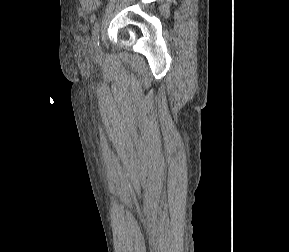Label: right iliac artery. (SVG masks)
<instances>
[{"instance_id": "right-iliac-artery-1", "label": "right iliac artery", "mask_w": 289, "mask_h": 252, "mask_svg": "<svg viewBox=\"0 0 289 252\" xmlns=\"http://www.w3.org/2000/svg\"><path fill=\"white\" fill-rule=\"evenodd\" d=\"M92 39H93V43L95 48L98 49L99 47V23L95 22L93 29H92Z\"/></svg>"}]
</instances>
